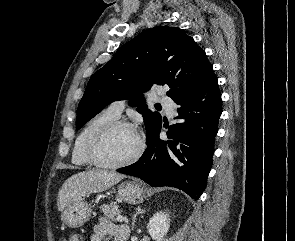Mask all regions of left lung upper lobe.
Segmentation results:
<instances>
[{"mask_svg": "<svg viewBox=\"0 0 295 241\" xmlns=\"http://www.w3.org/2000/svg\"><path fill=\"white\" fill-rule=\"evenodd\" d=\"M212 75L204 50L182 29L145 30L91 76L78 106L76 127L81 128L111 102L130 99L129 104L143 115L148 142L162 117L148 109L143 93L154 84H166L170 87L167 96L175 101Z\"/></svg>", "mask_w": 295, "mask_h": 241, "instance_id": "obj_1", "label": "left lung upper lobe"}]
</instances>
